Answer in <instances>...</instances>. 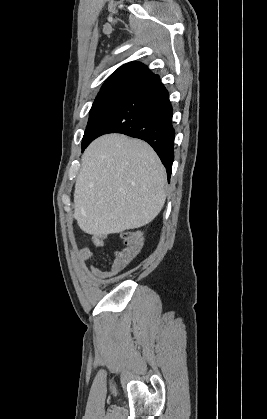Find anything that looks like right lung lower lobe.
I'll return each mask as SVG.
<instances>
[{"label": "right lung lower lobe", "instance_id": "98d812e1", "mask_svg": "<svg viewBox=\"0 0 267 419\" xmlns=\"http://www.w3.org/2000/svg\"><path fill=\"white\" fill-rule=\"evenodd\" d=\"M169 94L158 75L130 92L101 121L91 141L107 133H122L148 142L160 157L170 180L175 130Z\"/></svg>", "mask_w": 267, "mask_h": 419}]
</instances>
